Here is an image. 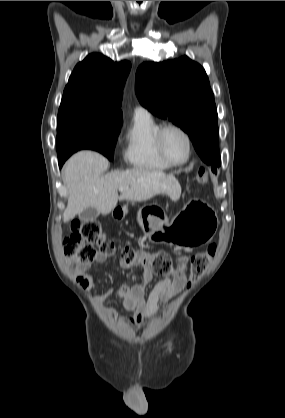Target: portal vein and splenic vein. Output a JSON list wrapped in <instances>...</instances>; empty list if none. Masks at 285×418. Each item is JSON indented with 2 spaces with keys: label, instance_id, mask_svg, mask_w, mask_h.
Segmentation results:
<instances>
[{
  "label": "portal vein and splenic vein",
  "instance_id": "18ae733b",
  "mask_svg": "<svg viewBox=\"0 0 285 418\" xmlns=\"http://www.w3.org/2000/svg\"><path fill=\"white\" fill-rule=\"evenodd\" d=\"M124 190H125V188H124V187H120V188H119V191H120V192H123Z\"/></svg>",
  "mask_w": 285,
  "mask_h": 418
}]
</instances>
